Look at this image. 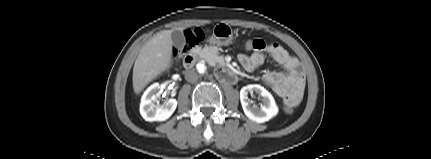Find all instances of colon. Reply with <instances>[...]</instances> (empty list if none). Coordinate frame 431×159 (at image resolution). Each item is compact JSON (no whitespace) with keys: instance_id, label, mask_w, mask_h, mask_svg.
Here are the masks:
<instances>
[{"instance_id":"obj_1","label":"colon","mask_w":431,"mask_h":159,"mask_svg":"<svg viewBox=\"0 0 431 159\" xmlns=\"http://www.w3.org/2000/svg\"><path fill=\"white\" fill-rule=\"evenodd\" d=\"M201 39V33L198 31L195 32H190L187 34V45L188 46H192L194 44H196L199 40ZM254 45V40L253 39H247L246 43L244 44V50L246 52H249L252 49V46ZM285 111L287 113H291L293 112V108L290 107H285Z\"/></svg>"}]
</instances>
